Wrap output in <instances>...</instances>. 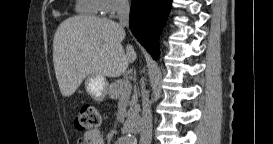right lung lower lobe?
I'll return each instance as SVG.
<instances>
[{
    "instance_id": "98d812e1",
    "label": "right lung lower lobe",
    "mask_w": 273,
    "mask_h": 144,
    "mask_svg": "<svg viewBox=\"0 0 273 144\" xmlns=\"http://www.w3.org/2000/svg\"><path fill=\"white\" fill-rule=\"evenodd\" d=\"M172 0H132L130 29L153 58H158V36Z\"/></svg>"
}]
</instances>
